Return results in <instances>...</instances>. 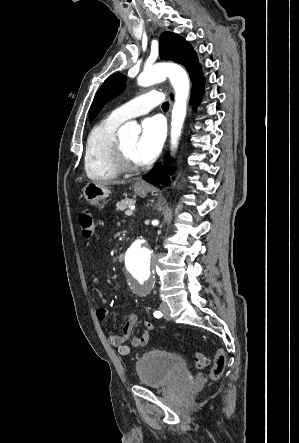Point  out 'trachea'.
Segmentation results:
<instances>
[{
  "mask_svg": "<svg viewBox=\"0 0 299 443\" xmlns=\"http://www.w3.org/2000/svg\"><path fill=\"white\" fill-rule=\"evenodd\" d=\"M162 109L168 110L169 109V103L168 102H164L163 105H162Z\"/></svg>",
  "mask_w": 299,
  "mask_h": 443,
  "instance_id": "obj_1",
  "label": "trachea"
}]
</instances>
